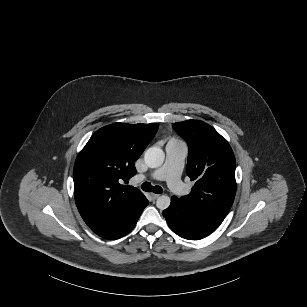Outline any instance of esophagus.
Segmentation results:
<instances>
[{"label": "esophagus", "mask_w": 307, "mask_h": 307, "mask_svg": "<svg viewBox=\"0 0 307 307\" xmlns=\"http://www.w3.org/2000/svg\"><path fill=\"white\" fill-rule=\"evenodd\" d=\"M150 196H151L152 200H156L159 197V195L155 194V193H150Z\"/></svg>", "instance_id": "1"}]
</instances>
